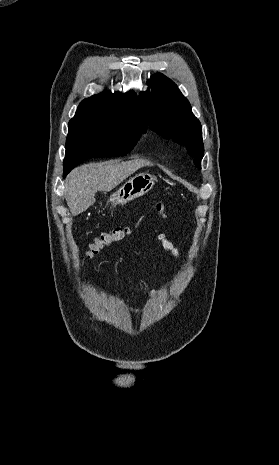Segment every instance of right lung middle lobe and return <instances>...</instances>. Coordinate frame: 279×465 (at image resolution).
Instances as JSON below:
<instances>
[{
	"instance_id": "right-lung-middle-lobe-1",
	"label": "right lung middle lobe",
	"mask_w": 279,
	"mask_h": 465,
	"mask_svg": "<svg viewBox=\"0 0 279 465\" xmlns=\"http://www.w3.org/2000/svg\"><path fill=\"white\" fill-rule=\"evenodd\" d=\"M145 130L133 123H106L68 130L64 171L93 157L126 155Z\"/></svg>"
}]
</instances>
